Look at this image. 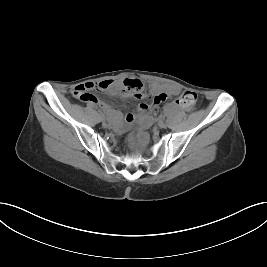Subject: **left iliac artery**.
Here are the masks:
<instances>
[{
  "label": "left iliac artery",
  "instance_id": "left-iliac-artery-1",
  "mask_svg": "<svg viewBox=\"0 0 267 267\" xmlns=\"http://www.w3.org/2000/svg\"><path fill=\"white\" fill-rule=\"evenodd\" d=\"M170 120H171V119H170L169 117H166V118L164 117V118H163V121H165L166 123H169Z\"/></svg>",
  "mask_w": 267,
  "mask_h": 267
}]
</instances>
